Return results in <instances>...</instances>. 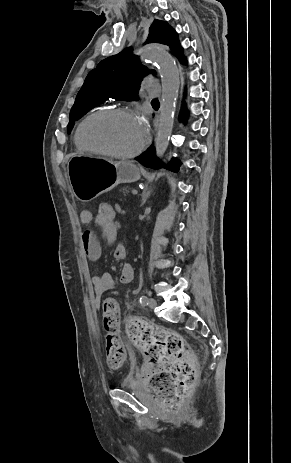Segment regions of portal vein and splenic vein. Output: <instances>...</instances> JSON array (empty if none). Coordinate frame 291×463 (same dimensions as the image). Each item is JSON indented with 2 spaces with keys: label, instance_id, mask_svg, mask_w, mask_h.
<instances>
[{
  "label": "portal vein and splenic vein",
  "instance_id": "obj_1",
  "mask_svg": "<svg viewBox=\"0 0 291 463\" xmlns=\"http://www.w3.org/2000/svg\"><path fill=\"white\" fill-rule=\"evenodd\" d=\"M132 194H137V190H136V189H132Z\"/></svg>",
  "mask_w": 291,
  "mask_h": 463
}]
</instances>
